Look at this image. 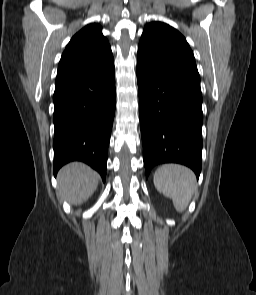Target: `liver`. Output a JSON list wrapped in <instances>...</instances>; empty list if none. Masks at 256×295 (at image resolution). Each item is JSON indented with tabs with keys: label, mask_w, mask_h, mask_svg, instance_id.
I'll list each match as a JSON object with an SVG mask.
<instances>
[{
	"label": "liver",
	"mask_w": 256,
	"mask_h": 295,
	"mask_svg": "<svg viewBox=\"0 0 256 295\" xmlns=\"http://www.w3.org/2000/svg\"><path fill=\"white\" fill-rule=\"evenodd\" d=\"M57 179L58 197L80 205L97 189L100 176L86 164L72 162L61 168Z\"/></svg>",
	"instance_id": "6515ba94"
}]
</instances>
